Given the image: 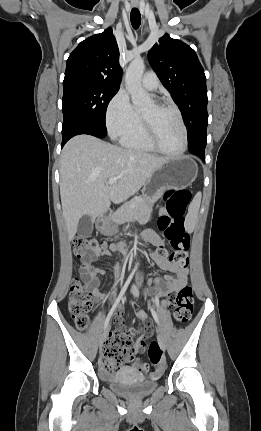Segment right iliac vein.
<instances>
[{"label": "right iliac vein", "mask_w": 261, "mask_h": 431, "mask_svg": "<svg viewBox=\"0 0 261 431\" xmlns=\"http://www.w3.org/2000/svg\"><path fill=\"white\" fill-rule=\"evenodd\" d=\"M109 328H110V325H108V326L106 327V329H105V331H104V333H103V336H102V338H101V340H100V344H99V347H100V348L103 346V343H104V340H105V338H106V335H107V332H108Z\"/></svg>", "instance_id": "1"}]
</instances>
